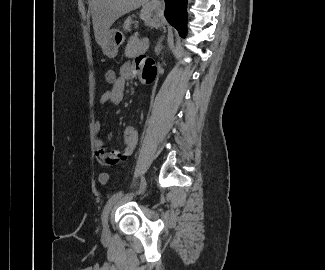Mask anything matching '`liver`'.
<instances>
[{"instance_id":"obj_1","label":"liver","mask_w":325,"mask_h":270,"mask_svg":"<svg viewBox=\"0 0 325 270\" xmlns=\"http://www.w3.org/2000/svg\"><path fill=\"white\" fill-rule=\"evenodd\" d=\"M147 3V0H93L92 23L96 42L102 47L109 28L122 15ZM132 20L129 17L124 29L130 30Z\"/></svg>"}]
</instances>
